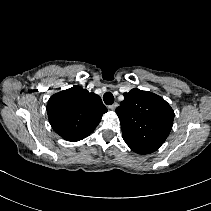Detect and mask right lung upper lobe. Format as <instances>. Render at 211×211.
Wrapping results in <instances>:
<instances>
[{
    "label": "right lung upper lobe",
    "instance_id": "1",
    "mask_svg": "<svg viewBox=\"0 0 211 211\" xmlns=\"http://www.w3.org/2000/svg\"><path fill=\"white\" fill-rule=\"evenodd\" d=\"M106 112L100 96L79 86L52 95L47 104L52 128L71 142L89 136Z\"/></svg>",
    "mask_w": 211,
    "mask_h": 211
}]
</instances>
